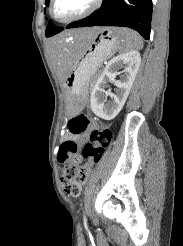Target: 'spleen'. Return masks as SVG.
Instances as JSON below:
<instances>
[{"mask_svg": "<svg viewBox=\"0 0 183 246\" xmlns=\"http://www.w3.org/2000/svg\"><path fill=\"white\" fill-rule=\"evenodd\" d=\"M122 39V47L121 51H129L133 49H141L143 47V42L141 37L130 29H122L121 32ZM95 55V54H94ZM90 63L88 57H86L80 64L81 69H85Z\"/></svg>", "mask_w": 183, "mask_h": 246, "instance_id": "1", "label": "spleen"}]
</instances>
